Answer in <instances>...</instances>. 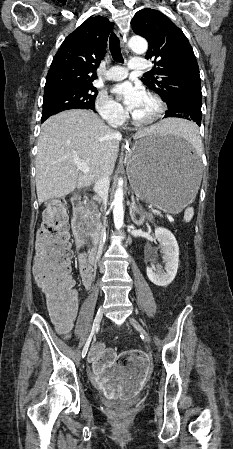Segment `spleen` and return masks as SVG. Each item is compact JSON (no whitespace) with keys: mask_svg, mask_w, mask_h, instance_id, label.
Masks as SVG:
<instances>
[{"mask_svg":"<svg viewBox=\"0 0 233 449\" xmlns=\"http://www.w3.org/2000/svg\"><path fill=\"white\" fill-rule=\"evenodd\" d=\"M178 142H190L194 146L198 144L199 137L197 134V124L195 125H176V133ZM194 215L193 207H188L184 212V221L190 222Z\"/></svg>","mask_w":233,"mask_h":449,"instance_id":"spleen-1","label":"spleen"}]
</instances>
